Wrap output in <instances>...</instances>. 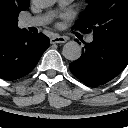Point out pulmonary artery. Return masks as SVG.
I'll return each mask as SVG.
<instances>
[{
	"mask_svg": "<svg viewBox=\"0 0 128 128\" xmlns=\"http://www.w3.org/2000/svg\"><path fill=\"white\" fill-rule=\"evenodd\" d=\"M73 0H59L60 5L65 6L71 3ZM51 20L50 14L33 16V17H25L21 20V26L23 27H37L47 24ZM89 42L93 41V37L89 36L87 39Z\"/></svg>",
	"mask_w": 128,
	"mask_h": 128,
	"instance_id": "1",
	"label": "pulmonary artery"
}]
</instances>
